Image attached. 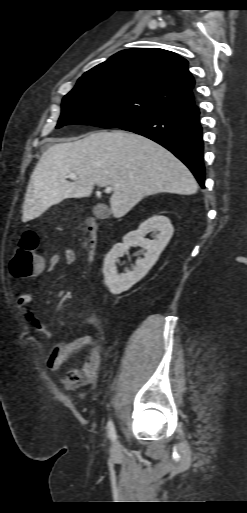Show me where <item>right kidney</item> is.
<instances>
[{"label":"right kidney","mask_w":247,"mask_h":513,"mask_svg":"<svg viewBox=\"0 0 247 513\" xmlns=\"http://www.w3.org/2000/svg\"><path fill=\"white\" fill-rule=\"evenodd\" d=\"M152 232L153 240L144 238ZM174 232L171 221L166 216H152L144 221L136 231H131L117 243L105 258L103 274L106 286L113 294H120L142 279L158 260ZM133 245L146 250L144 258L138 260L132 271L118 274L116 263L118 258Z\"/></svg>","instance_id":"right-kidney-1"}]
</instances>
